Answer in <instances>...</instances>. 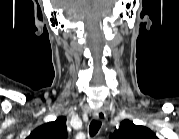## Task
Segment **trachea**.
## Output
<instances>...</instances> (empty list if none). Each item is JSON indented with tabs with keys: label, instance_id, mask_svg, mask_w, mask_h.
Masks as SVG:
<instances>
[{
	"label": "trachea",
	"instance_id": "3493384b",
	"mask_svg": "<svg viewBox=\"0 0 179 139\" xmlns=\"http://www.w3.org/2000/svg\"><path fill=\"white\" fill-rule=\"evenodd\" d=\"M101 127V122L98 120H92L89 126V134L91 137L95 136Z\"/></svg>",
	"mask_w": 179,
	"mask_h": 139
}]
</instances>
